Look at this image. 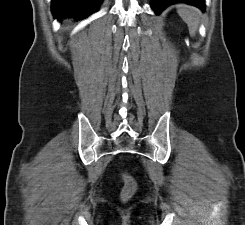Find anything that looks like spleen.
Listing matches in <instances>:
<instances>
[{
  "instance_id": "3e777b00",
  "label": "spleen",
  "mask_w": 245,
  "mask_h": 225,
  "mask_svg": "<svg viewBox=\"0 0 245 225\" xmlns=\"http://www.w3.org/2000/svg\"><path fill=\"white\" fill-rule=\"evenodd\" d=\"M177 12L188 25L190 35L195 36L200 24V10L188 5H179Z\"/></svg>"
}]
</instances>
